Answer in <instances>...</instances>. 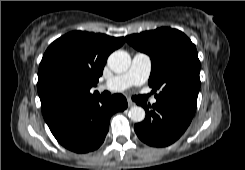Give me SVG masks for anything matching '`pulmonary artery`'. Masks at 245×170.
<instances>
[{"instance_id": "1", "label": "pulmonary artery", "mask_w": 245, "mask_h": 170, "mask_svg": "<svg viewBox=\"0 0 245 170\" xmlns=\"http://www.w3.org/2000/svg\"><path fill=\"white\" fill-rule=\"evenodd\" d=\"M151 72V59L147 54L136 53L129 70L116 75L101 85V88L112 92L122 91L132 85H141L149 77ZM156 103V99H152Z\"/></svg>"}]
</instances>
